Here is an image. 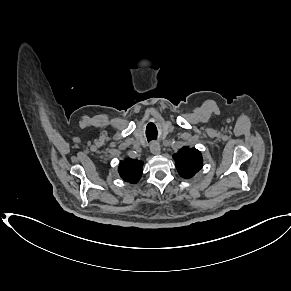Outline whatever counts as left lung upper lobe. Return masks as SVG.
Segmentation results:
<instances>
[{"instance_id": "5c2ea615", "label": "left lung upper lobe", "mask_w": 291, "mask_h": 291, "mask_svg": "<svg viewBox=\"0 0 291 291\" xmlns=\"http://www.w3.org/2000/svg\"><path fill=\"white\" fill-rule=\"evenodd\" d=\"M178 173L183 178L193 177L202 167V155L195 148L183 147L173 155Z\"/></svg>"}]
</instances>
